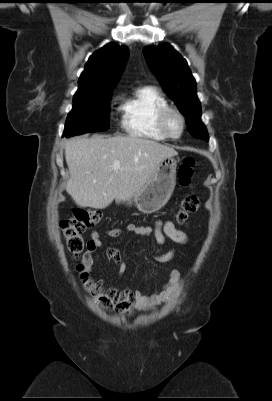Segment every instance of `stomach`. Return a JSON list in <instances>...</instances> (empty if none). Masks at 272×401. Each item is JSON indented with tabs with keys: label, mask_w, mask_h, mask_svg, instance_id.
Here are the masks:
<instances>
[{
	"label": "stomach",
	"mask_w": 272,
	"mask_h": 401,
	"mask_svg": "<svg viewBox=\"0 0 272 401\" xmlns=\"http://www.w3.org/2000/svg\"><path fill=\"white\" fill-rule=\"evenodd\" d=\"M177 160L163 159L147 184L134 196L128 198L127 205H135L145 214L160 210L170 199L176 185Z\"/></svg>",
	"instance_id": "stomach-1"
}]
</instances>
